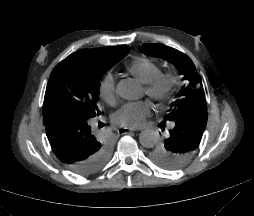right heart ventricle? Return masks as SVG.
Masks as SVG:
<instances>
[{
	"instance_id": "obj_1",
	"label": "right heart ventricle",
	"mask_w": 254,
	"mask_h": 216,
	"mask_svg": "<svg viewBox=\"0 0 254 216\" xmlns=\"http://www.w3.org/2000/svg\"><path fill=\"white\" fill-rule=\"evenodd\" d=\"M143 68H144V70L146 68V70L150 69L152 71H155L157 69L156 65H154L153 63H151L149 61H146V62H142V63H140V65L134 67L133 71L134 72H137V71L139 72V70H141V69L143 70Z\"/></svg>"
}]
</instances>
